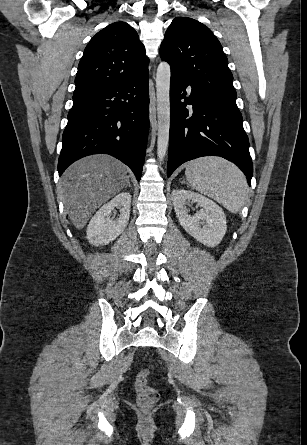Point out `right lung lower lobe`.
<instances>
[{
  "label": "right lung lower lobe",
  "mask_w": 307,
  "mask_h": 445,
  "mask_svg": "<svg viewBox=\"0 0 307 445\" xmlns=\"http://www.w3.org/2000/svg\"><path fill=\"white\" fill-rule=\"evenodd\" d=\"M149 72L123 83L73 95L58 161L61 175L74 161L110 154L140 180L149 129Z\"/></svg>",
  "instance_id": "98d812e1"
}]
</instances>
